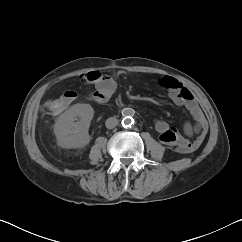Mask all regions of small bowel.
<instances>
[{"label":"small bowel","mask_w":242,"mask_h":242,"mask_svg":"<svg viewBox=\"0 0 242 242\" xmlns=\"http://www.w3.org/2000/svg\"><path fill=\"white\" fill-rule=\"evenodd\" d=\"M91 75H98L94 81H88L95 84V93L106 91L109 96L116 89V82L110 76H100L96 72L86 74L85 78L89 79ZM159 86L168 91L170 99L179 106H184L191 114L194 124L189 122L184 124L183 131L187 137L196 136L193 140L182 136L175 128L170 127L164 120L155 121V129L159 133L161 143L169 146H174L180 153H190L197 150L204 141L207 133V121L204 114L198 105L194 95L177 79L166 76L159 81ZM68 105L74 101L75 94L67 92ZM104 101V100H98Z\"/></svg>","instance_id":"c3829d8e"}]
</instances>
